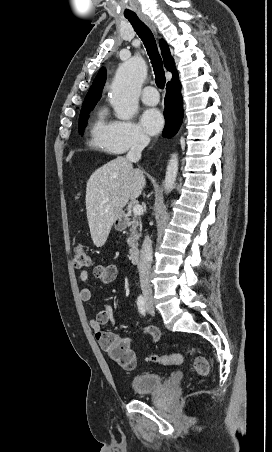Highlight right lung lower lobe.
I'll return each mask as SVG.
<instances>
[{"label": "right lung lower lobe", "mask_w": 272, "mask_h": 452, "mask_svg": "<svg viewBox=\"0 0 272 452\" xmlns=\"http://www.w3.org/2000/svg\"><path fill=\"white\" fill-rule=\"evenodd\" d=\"M164 115L166 125L163 136L170 138L178 131L183 118V102L179 79L167 84Z\"/></svg>", "instance_id": "1"}]
</instances>
